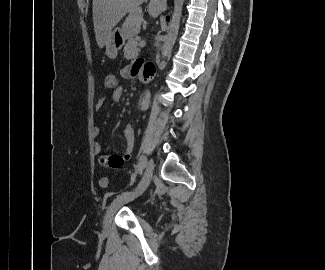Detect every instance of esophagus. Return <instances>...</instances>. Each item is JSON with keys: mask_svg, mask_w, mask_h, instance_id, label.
<instances>
[{"mask_svg": "<svg viewBox=\"0 0 325 270\" xmlns=\"http://www.w3.org/2000/svg\"><path fill=\"white\" fill-rule=\"evenodd\" d=\"M149 7L158 11H163L167 8V0H150Z\"/></svg>", "mask_w": 325, "mask_h": 270, "instance_id": "1", "label": "esophagus"}]
</instances>
